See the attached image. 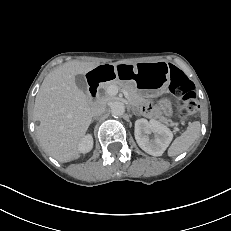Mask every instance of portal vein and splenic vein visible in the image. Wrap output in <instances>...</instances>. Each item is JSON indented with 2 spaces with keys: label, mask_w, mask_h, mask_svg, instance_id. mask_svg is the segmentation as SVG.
<instances>
[{
  "label": "portal vein and splenic vein",
  "mask_w": 231,
  "mask_h": 231,
  "mask_svg": "<svg viewBox=\"0 0 231 231\" xmlns=\"http://www.w3.org/2000/svg\"><path fill=\"white\" fill-rule=\"evenodd\" d=\"M107 93H108L109 95H116V94L118 93V88H117L116 86H110V87L107 89ZM123 93H124V96H125L126 98L129 97L128 92L123 91Z\"/></svg>",
  "instance_id": "obj_1"
}]
</instances>
